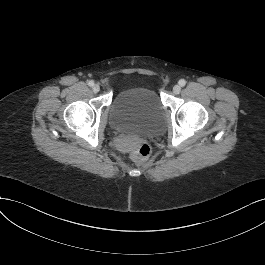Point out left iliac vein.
<instances>
[{
  "mask_svg": "<svg viewBox=\"0 0 265 265\" xmlns=\"http://www.w3.org/2000/svg\"><path fill=\"white\" fill-rule=\"evenodd\" d=\"M180 91H181V87H180L179 85H175V86L173 87V92H174L175 94H179Z\"/></svg>",
  "mask_w": 265,
  "mask_h": 265,
  "instance_id": "4c4485c4",
  "label": "left iliac vein"
}]
</instances>
